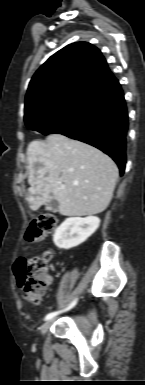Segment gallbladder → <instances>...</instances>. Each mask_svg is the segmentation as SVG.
<instances>
[{"label":"gallbladder","mask_w":145,"mask_h":385,"mask_svg":"<svg viewBox=\"0 0 145 385\" xmlns=\"http://www.w3.org/2000/svg\"><path fill=\"white\" fill-rule=\"evenodd\" d=\"M58 206H59L58 201L55 200V199H52L47 204V210L50 211V212H57L58 211Z\"/></svg>","instance_id":"bac80fb5"}]
</instances>
